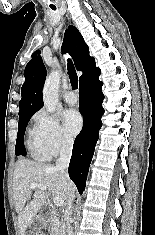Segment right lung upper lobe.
<instances>
[{"mask_svg":"<svg viewBox=\"0 0 155 235\" xmlns=\"http://www.w3.org/2000/svg\"><path fill=\"white\" fill-rule=\"evenodd\" d=\"M65 48L72 56L77 70L83 72L80 84L98 74L100 69L95 66V59L89 55V48L82 35L74 26L65 31L62 52ZM25 82L21 89L22 98L19 102V118L34 114L43 107L42 88L46 77V69L42 58L36 56L27 64L24 72Z\"/></svg>","mask_w":155,"mask_h":235,"instance_id":"1","label":"right lung upper lobe"}]
</instances>
